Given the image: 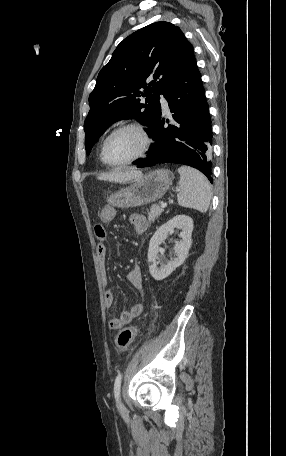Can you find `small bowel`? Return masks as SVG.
<instances>
[{"instance_id": "c3829d8e", "label": "small bowel", "mask_w": 286, "mask_h": 456, "mask_svg": "<svg viewBox=\"0 0 286 456\" xmlns=\"http://www.w3.org/2000/svg\"><path fill=\"white\" fill-rule=\"evenodd\" d=\"M115 217V209L111 206H106L102 209L100 218L105 224L110 223ZM129 222L134 228L136 234H143L147 229V219L139 214L132 213L129 216ZM95 235L98 239L97 256L100 265L101 278L104 286L109 284L108 269L106 264L107 256V232L102 224L95 227ZM128 281L137 289L143 291V274L140 266H135L127 276ZM104 302L107 307H111L114 303V294L111 290L106 289L104 292ZM143 304L137 303L130 307L129 310L122 312L118 317L112 318L108 326L111 330H118L124 325L130 323L135 318L139 317L143 312Z\"/></svg>"}]
</instances>
